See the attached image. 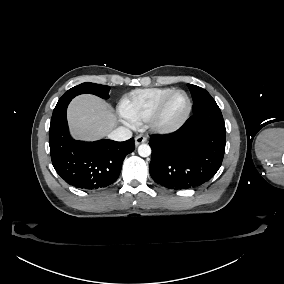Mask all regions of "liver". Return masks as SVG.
Segmentation results:
<instances>
[{"instance_id":"liver-1","label":"liver","mask_w":284,"mask_h":284,"mask_svg":"<svg viewBox=\"0 0 284 284\" xmlns=\"http://www.w3.org/2000/svg\"><path fill=\"white\" fill-rule=\"evenodd\" d=\"M67 117L72 135L84 140L105 137L117 123L111 105L90 94L75 97L68 107Z\"/></svg>"}]
</instances>
